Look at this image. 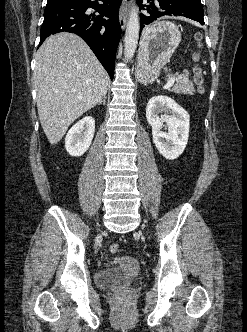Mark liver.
<instances>
[{
	"label": "liver",
	"mask_w": 247,
	"mask_h": 332,
	"mask_svg": "<svg viewBox=\"0 0 247 332\" xmlns=\"http://www.w3.org/2000/svg\"><path fill=\"white\" fill-rule=\"evenodd\" d=\"M33 79L41 126L56 145L74 120L102 101L109 77L80 37L58 33L38 49Z\"/></svg>",
	"instance_id": "liver-1"
}]
</instances>
